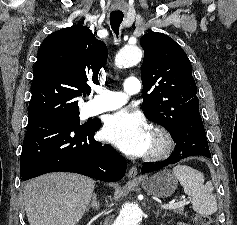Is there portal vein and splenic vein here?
Segmentation results:
<instances>
[{
    "label": "portal vein and splenic vein",
    "instance_id": "18ae733b",
    "mask_svg": "<svg viewBox=\"0 0 237 225\" xmlns=\"http://www.w3.org/2000/svg\"><path fill=\"white\" fill-rule=\"evenodd\" d=\"M186 204H187V201L184 199L179 202H174V203L162 205L161 208H163V209H177V208L183 207Z\"/></svg>",
    "mask_w": 237,
    "mask_h": 225
}]
</instances>
